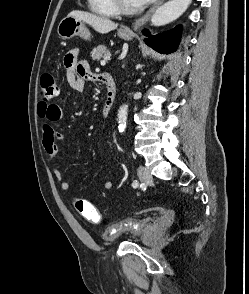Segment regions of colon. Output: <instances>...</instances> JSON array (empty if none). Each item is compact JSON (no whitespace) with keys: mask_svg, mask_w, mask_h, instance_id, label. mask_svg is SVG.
Wrapping results in <instances>:
<instances>
[{"mask_svg":"<svg viewBox=\"0 0 249 294\" xmlns=\"http://www.w3.org/2000/svg\"><path fill=\"white\" fill-rule=\"evenodd\" d=\"M41 99L50 101L58 96L59 88L54 76L50 73H45L41 77ZM75 209L79 215L93 224L101 222V215L96 207L85 199H76L74 201Z\"/></svg>","mask_w":249,"mask_h":294,"instance_id":"1","label":"colon"}]
</instances>
